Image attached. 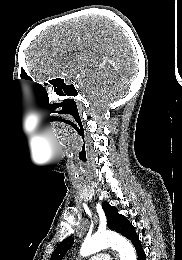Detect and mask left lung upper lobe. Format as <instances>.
Returning a JSON list of instances; mask_svg holds the SVG:
<instances>
[{"label":"left lung upper lobe","instance_id":"1","mask_svg":"<svg viewBox=\"0 0 182 260\" xmlns=\"http://www.w3.org/2000/svg\"><path fill=\"white\" fill-rule=\"evenodd\" d=\"M102 208L107 218V225L111 230H114L123 236H126L129 231L134 228L128 219L119 214L115 206H111L108 202L102 203ZM74 243L73 237H67L56 248L50 260H62L67 251Z\"/></svg>","mask_w":182,"mask_h":260}]
</instances>
